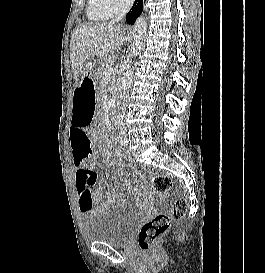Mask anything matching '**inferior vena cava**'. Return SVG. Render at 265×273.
Returning a JSON list of instances; mask_svg holds the SVG:
<instances>
[{
  "instance_id": "obj_1",
  "label": "inferior vena cava",
  "mask_w": 265,
  "mask_h": 273,
  "mask_svg": "<svg viewBox=\"0 0 265 273\" xmlns=\"http://www.w3.org/2000/svg\"><path fill=\"white\" fill-rule=\"evenodd\" d=\"M132 4H133V0H123V3L120 6V11H119L118 16L116 17V19L112 20L111 23L114 24V23L120 21L126 15V13L129 11Z\"/></svg>"
}]
</instances>
